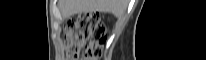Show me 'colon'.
<instances>
[{"label":"colon","instance_id":"colon-1","mask_svg":"<svg viewBox=\"0 0 206 60\" xmlns=\"http://www.w3.org/2000/svg\"><path fill=\"white\" fill-rule=\"evenodd\" d=\"M64 41L67 60H98L106 41L99 15L86 13L69 20Z\"/></svg>","mask_w":206,"mask_h":60}]
</instances>
